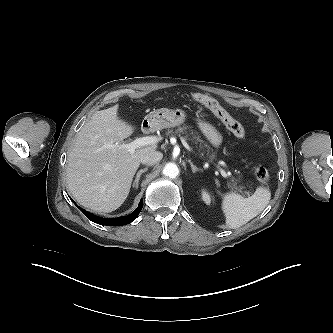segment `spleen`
<instances>
[{"label": "spleen", "mask_w": 333, "mask_h": 333, "mask_svg": "<svg viewBox=\"0 0 333 333\" xmlns=\"http://www.w3.org/2000/svg\"><path fill=\"white\" fill-rule=\"evenodd\" d=\"M270 199L271 193L264 187H258L248 198L232 192L225 194L222 210L226 217V226L236 229L245 225L264 210Z\"/></svg>", "instance_id": "spleen-1"}]
</instances>
